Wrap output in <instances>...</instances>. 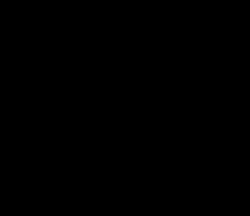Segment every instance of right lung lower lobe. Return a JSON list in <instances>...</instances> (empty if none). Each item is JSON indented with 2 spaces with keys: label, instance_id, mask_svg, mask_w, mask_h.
<instances>
[{
  "label": "right lung lower lobe",
  "instance_id": "1",
  "mask_svg": "<svg viewBox=\"0 0 250 216\" xmlns=\"http://www.w3.org/2000/svg\"><path fill=\"white\" fill-rule=\"evenodd\" d=\"M109 104L107 98L86 111L51 120L50 133L62 158L73 168L98 174L116 162L129 115L117 108L101 120Z\"/></svg>",
  "mask_w": 250,
  "mask_h": 216
}]
</instances>
